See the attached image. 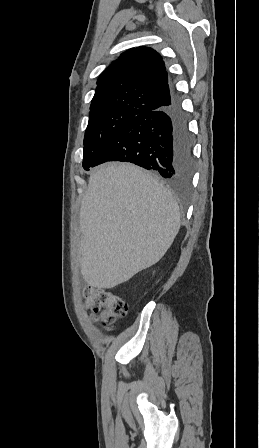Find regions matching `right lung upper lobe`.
<instances>
[{"instance_id": "right-lung-upper-lobe-1", "label": "right lung upper lobe", "mask_w": 259, "mask_h": 448, "mask_svg": "<svg viewBox=\"0 0 259 448\" xmlns=\"http://www.w3.org/2000/svg\"><path fill=\"white\" fill-rule=\"evenodd\" d=\"M90 113L154 111L171 101L161 55L149 47L129 49L100 75Z\"/></svg>"}]
</instances>
